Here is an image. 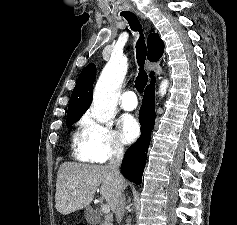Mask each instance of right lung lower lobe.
Listing matches in <instances>:
<instances>
[{"mask_svg": "<svg viewBox=\"0 0 237 225\" xmlns=\"http://www.w3.org/2000/svg\"><path fill=\"white\" fill-rule=\"evenodd\" d=\"M154 82L145 88L143 103L139 110L141 125L140 138L128 148L121 165V172L129 181L139 185L146 163L147 150L151 140V131L155 123Z\"/></svg>", "mask_w": 237, "mask_h": 225, "instance_id": "1", "label": "right lung lower lobe"}]
</instances>
